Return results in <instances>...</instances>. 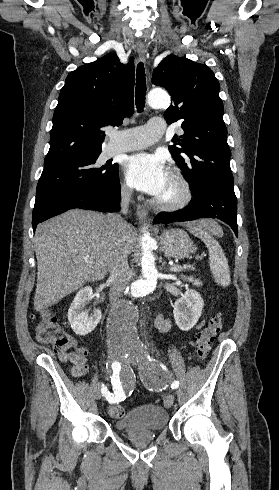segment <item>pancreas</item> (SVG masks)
<instances>
[{
    "label": "pancreas",
    "instance_id": "obj_1",
    "mask_svg": "<svg viewBox=\"0 0 279 490\" xmlns=\"http://www.w3.org/2000/svg\"><path fill=\"white\" fill-rule=\"evenodd\" d=\"M181 272H183V270H181ZM186 280H189V282H194L195 286H198L199 284L198 280H195V278H192V276H190V278H186Z\"/></svg>",
    "mask_w": 279,
    "mask_h": 490
}]
</instances>
